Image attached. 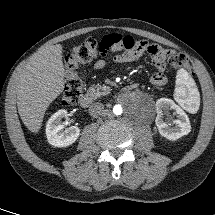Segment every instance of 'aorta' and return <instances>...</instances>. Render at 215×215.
<instances>
[{"mask_svg": "<svg viewBox=\"0 0 215 215\" xmlns=\"http://www.w3.org/2000/svg\"><path fill=\"white\" fill-rule=\"evenodd\" d=\"M113 112H114L115 115H121L122 112H123V109H122L121 105L114 106Z\"/></svg>", "mask_w": 215, "mask_h": 215, "instance_id": "aorta-1", "label": "aorta"}]
</instances>
